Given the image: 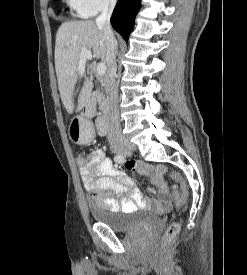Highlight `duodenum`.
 <instances>
[{"mask_svg":"<svg viewBox=\"0 0 247 275\" xmlns=\"http://www.w3.org/2000/svg\"><path fill=\"white\" fill-rule=\"evenodd\" d=\"M96 91L93 90L85 95L83 100L82 109L84 113L92 110L95 106ZM110 112L107 110L103 115L96 118V129L99 135H105L109 126Z\"/></svg>","mask_w":247,"mask_h":275,"instance_id":"410a0bca","label":"duodenum"}]
</instances>
